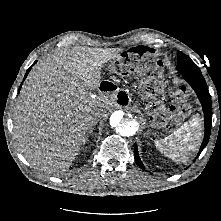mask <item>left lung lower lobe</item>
<instances>
[{
  "mask_svg": "<svg viewBox=\"0 0 221 221\" xmlns=\"http://www.w3.org/2000/svg\"><path fill=\"white\" fill-rule=\"evenodd\" d=\"M183 78L191 85L193 90L196 92L204 112L205 118V136L202 142V145L199 149L198 155L202 152L205 146L208 143L211 126H212V108H211V96L208 91V87L206 85L205 79L203 78L201 73H182ZM134 155L137 165L144 170V165L142 164L139 154L137 145L134 146Z\"/></svg>",
  "mask_w": 221,
  "mask_h": 221,
  "instance_id": "0a47b994",
  "label": "left lung lower lobe"
}]
</instances>
